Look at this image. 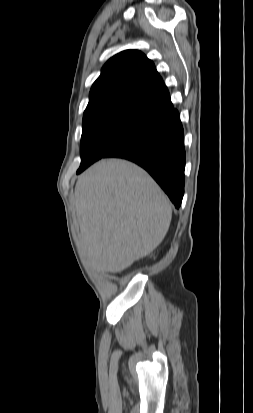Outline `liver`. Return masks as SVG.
Here are the masks:
<instances>
[{"label": "liver", "mask_w": 253, "mask_h": 413, "mask_svg": "<svg viewBox=\"0 0 253 413\" xmlns=\"http://www.w3.org/2000/svg\"><path fill=\"white\" fill-rule=\"evenodd\" d=\"M81 245L90 266L118 273L164 239L171 204L149 174L122 159H104L77 180L74 199Z\"/></svg>", "instance_id": "6515ba94"}]
</instances>
